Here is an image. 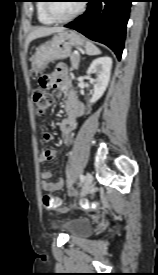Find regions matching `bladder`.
Wrapping results in <instances>:
<instances>
[{"instance_id": "31cf9c89", "label": "bladder", "mask_w": 158, "mask_h": 275, "mask_svg": "<svg viewBox=\"0 0 158 275\" xmlns=\"http://www.w3.org/2000/svg\"><path fill=\"white\" fill-rule=\"evenodd\" d=\"M51 224L54 228L65 230L71 238L85 236L90 230V223L84 218H76L67 221L52 220Z\"/></svg>"}]
</instances>
